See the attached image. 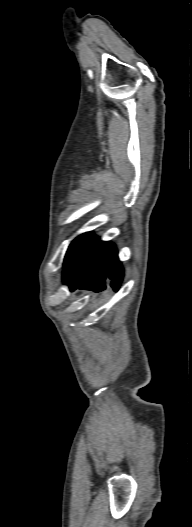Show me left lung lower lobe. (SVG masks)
I'll return each mask as SVG.
<instances>
[{"mask_svg":"<svg viewBox=\"0 0 192 527\" xmlns=\"http://www.w3.org/2000/svg\"><path fill=\"white\" fill-rule=\"evenodd\" d=\"M122 275L117 251L111 242L99 241L98 237L88 232L70 244L64 261L63 280L71 291H101L105 289L107 277L117 291Z\"/></svg>","mask_w":192,"mask_h":527,"instance_id":"1","label":"left lung lower lobe"}]
</instances>
